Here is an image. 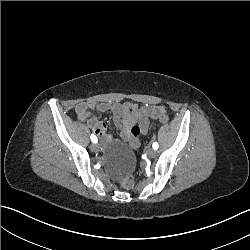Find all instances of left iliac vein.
<instances>
[{
	"label": "left iliac vein",
	"instance_id": "obj_1",
	"mask_svg": "<svg viewBox=\"0 0 250 250\" xmlns=\"http://www.w3.org/2000/svg\"><path fill=\"white\" fill-rule=\"evenodd\" d=\"M156 154H157L156 150L151 149V148L147 149V155H148V157L153 158V157L156 156Z\"/></svg>",
	"mask_w": 250,
	"mask_h": 250
}]
</instances>
